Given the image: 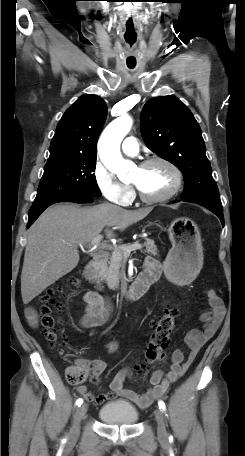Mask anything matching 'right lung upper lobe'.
<instances>
[{
	"instance_id": "cb5924a9",
	"label": "right lung upper lobe",
	"mask_w": 245,
	"mask_h": 456,
	"mask_svg": "<svg viewBox=\"0 0 245 456\" xmlns=\"http://www.w3.org/2000/svg\"><path fill=\"white\" fill-rule=\"evenodd\" d=\"M107 106L97 95L85 94L67 109L57 125L47 163L97 155V140Z\"/></svg>"
}]
</instances>
